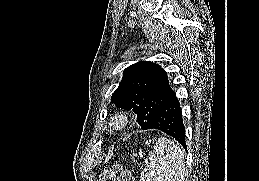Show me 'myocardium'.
Returning <instances> with one entry per match:
<instances>
[{
  "instance_id": "f54148a6",
  "label": "myocardium",
  "mask_w": 259,
  "mask_h": 181,
  "mask_svg": "<svg viewBox=\"0 0 259 181\" xmlns=\"http://www.w3.org/2000/svg\"><path fill=\"white\" fill-rule=\"evenodd\" d=\"M129 123V114L125 111L116 113L110 120L111 128L115 131L123 130Z\"/></svg>"
}]
</instances>
